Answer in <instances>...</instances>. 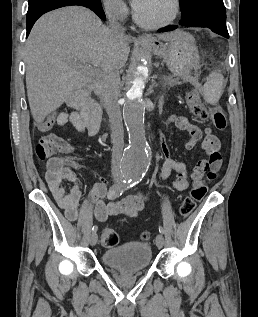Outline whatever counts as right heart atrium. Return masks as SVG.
I'll return each instance as SVG.
<instances>
[{
    "label": "right heart atrium",
    "mask_w": 258,
    "mask_h": 317,
    "mask_svg": "<svg viewBox=\"0 0 258 317\" xmlns=\"http://www.w3.org/2000/svg\"><path fill=\"white\" fill-rule=\"evenodd\" d=\"M103 9L108 17L123 20L128 14V7L123 0H104Z\"/></svg>",
    "instance_id": "d8ad5b80"
}]
</instances>
